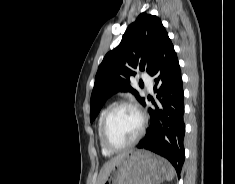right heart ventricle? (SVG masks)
<instances>
[{"mask_svg":"<svg viewBox=\"0 0 235 184\" xmlns=\"http://www.w3.org/2000/svg\"><path fill=\"white\" fill-rule=\"evenodd\" d=\"M106 111H107V108L104 109V110H102L101 113H100V116H99V119H98V123H97V137H98V142H99V145H100V147H101L102 153H103L105 156L110 157V156L113 155V153L107 151V150L103 147V145H102V143H101V138H100V136H101L102 122H103V118H104V116H105Z\"/></svg>","mask_w":235,"mask_h":184,"instance_id":"right-heart-ventricle-1","label":"right heart ventricle"}]
</instances>
